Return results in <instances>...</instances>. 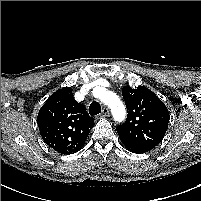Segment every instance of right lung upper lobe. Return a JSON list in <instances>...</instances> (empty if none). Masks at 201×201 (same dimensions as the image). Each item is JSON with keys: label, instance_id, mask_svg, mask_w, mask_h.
I'll return each mask as SVG.
<instances>
[{"label": "right lung upper lobe", "instance_id": "cb5924a9", "mask_svg": "<svg viewBox=\"0 0 201 201\" xmlns=\"http://www.w3.org/2000/svg\"><path fill=\"white\" fill-rule=\"evenodd\" d=\"M37 124L44 142L61 154L81 150L95 125L83 105L73 98L70 87L48 98L38 113Z\"/></svg>", "mask_w": 201, "mask_h": 201}]
</instances>
